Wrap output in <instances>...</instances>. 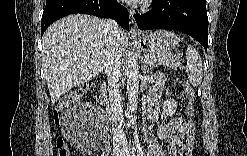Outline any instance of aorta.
Listing matches in <instances>:
<instances>
[{"label":"aorta","instance_id":"obj_1","mask_svg":"<svg viewBox=\"0 0 247 156\" xmlns=\"http://www.w3.org/2000/svg\"><path fill=\"white\" fill-rule=\"evenodd\" d=\"M127 92H128V101H129V111L131 114H134L137 109L138 103V92H139V68L138 62L134 55H131L128 58L127 62ZM135 119V116H131Z\"/></svg>","mask_w":247,"mask_h":156}]
</instances>
